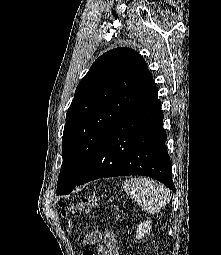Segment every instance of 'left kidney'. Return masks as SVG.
I'll return each mask as SVG.
<instances>
[{"label": "left kidney", "mask_w": 221, "mask_h": 255, "mask_svg": "<svg viewBox=\"0 0 221 255\" xmlns=\"http://www.w3.org/2000/svg\"><path fill=\"white\" fill-rule=\"evenodd\" d=\"M151 221L150 220H147V221H144V222H141L139 225H138V228L136 230V239H142L144 238V236L150 232L151 230Z\"/></svg>", "instance_id": "left-kidney-1"}]
</instances>
